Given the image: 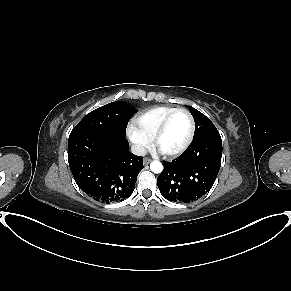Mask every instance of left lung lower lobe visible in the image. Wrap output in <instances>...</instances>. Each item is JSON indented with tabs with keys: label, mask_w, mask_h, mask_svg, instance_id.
Segmentation results:
<instances>
[{
	"label": "left lung lower lobe",
	"mask_w": 291,
	"mask_h": 291,
	"mask_svg": "<svg viewBox=\"0 0 291 291\" xmlns=\"http://www.w3.org/2000/svg\"><path fill=\"white\" fill-rule=\"evenodd\" d=\"M222 140L213 133L193 140L187 150L172 162H164L157 178L160 193L174 202L190 203L213 186L221 165Z\"/></svg>",
	"instance_id": "obj_1"
}]
</instances>
